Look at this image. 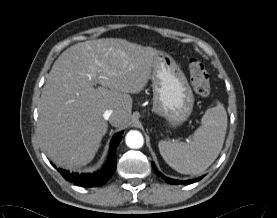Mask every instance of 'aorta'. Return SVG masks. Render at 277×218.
I'll use <instances>...</instances> for the list:
<instances>
[{
    "instance_id": "1",
    "label": "aorta",
    "mask_w": 277,
    "mask_h": 218,
    "mask_svg": "<svg viewBox=\"0 0 277 218\" xmlns=\"http://www.w3.org/2000/svg\"><path fill=\"white\" fill-rule=\"evenodd\" d=\"M125 141L127 146L132 149L141 148L144 143L142 134L136 130L128 132Z\"/></svg>"
}]
</instances>
